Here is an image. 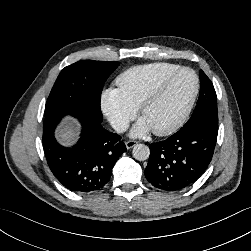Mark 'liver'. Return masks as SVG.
I'll use <instances>...</instances> for the list:
<instances>
[{
    "label": "liver",
    "instance_id": "liver-1",
    "mask_svg": "<svg viewBox=\"0 0 251 251\" xmlns=\"http://www.w3.org/2000/svg\"><path fill=\"white\" fill-rule=\"evenodd\" d=\"M69 125L70 123H67L57 133L58 139L65 145L70 144L75 136Z\"/></svg>",
    "mask_w": 251,
    "mask_h": 251
}]
</instances>
